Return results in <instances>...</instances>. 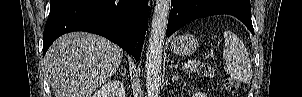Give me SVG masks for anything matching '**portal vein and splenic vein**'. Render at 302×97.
Wrapping results in <instances>:
<instances>
[{
    "mask_svg": "<svg viewBox=\"0 0 302 97\" xmlns=\"http://www.w3.org/2000/svg\"><path fill=\"white\" fill-rule=\"evenodd\" d=\"M195 63H196L195 60L190 61V62L186 63V64L183 66V69H187V68L191 67V66H192L193 64H195Z\"/></svg>",
    "mask_w": 302,
    "mask_h": 97,
    "instance_id": "portal-vein-and-splenic-vein-1",
    "label": "portal vein and splenic vein"
}]
</instances>
